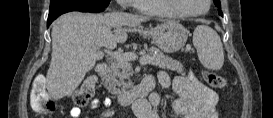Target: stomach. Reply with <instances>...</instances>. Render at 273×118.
I'll return each mask as SVG.
<instances>
[{
  "mask_svg": "<svg viewBox=\"0 0 273 118\" xmlns=\"http://www.w3.org/2000/svg\"><path fill=\"white\" fill-rule=\"evenodd\" d=\"M188 33L184 26L174 21H166L149 30L153 43L166 53L181 49L187 41Z\"/></svg>",
  "mask_w": 273,
  "mask_h": 118,
  "instance_id": "0dacf381",
  "label": "stomach"
}]
</instances>
